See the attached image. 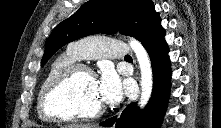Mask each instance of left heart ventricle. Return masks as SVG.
Here are the masks:
<instances>
[{"mask_svg":"<svg viewBox=\"0 0 221 128\" xmlns=\"http://www.w3.org/2000/svg\"><path fill=\"white\" fill-rule=\"evenodd\" d=\"M52 105L64 112L93 111L103 105L96 81L86 73L77 74L52 97Z\"/></svg>","mask_w":221,"mask_h":128,"instance_id":"obj_1","label":"left heart ventricle"}]
</instances>
